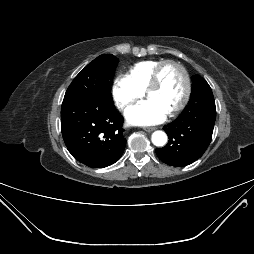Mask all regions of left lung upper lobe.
<instances>
[{"label":"left lung upper lobe","mask_w":254,"mask_h":254,"mask_svg":"<svg viewBox=\"0 0 254 254\" xmlns=\"http://www.w3.org/2000/svg\"><path fill=\"white\" fill-rule=\"evenodd\" d=\"M189 103L198 105H215V100L209 84L199 75L192 76V92Z\"/></svg>","instance_id":"obj_1"}]
</instances>
